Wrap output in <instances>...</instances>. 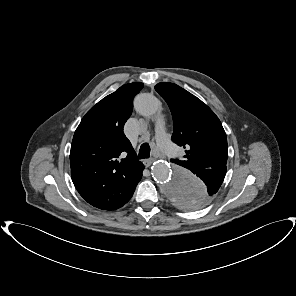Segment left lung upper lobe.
Masks as SVG:
<instances>
[{
	"label": "left lung upper lobe",
	"mask_w": 296,
	"mask_h": 296,
	"mask_svg": "<svg viewBox=\"0 0 296 296\" xmlns=\"http://www.w3.org/2000/svg\"><path fill=\"white\" fill-rule=\"evenodd\" d=\"M155 89L172 112L174 121L172 140L187 149L185 160L172 159L171 162L181 169L190 170L199 178L207 169L213 174L226 170L228 158L226 133L213 111L196 96L176 84L159 83ZM197 192L205 195L206 204L215 195L210 194L206 186L200 191L178 190L173 193L172 200L183 209H198L205 203L202 205L196 203Z\"/></svg>",
	"instance_id": "1"
}]
</instances>
